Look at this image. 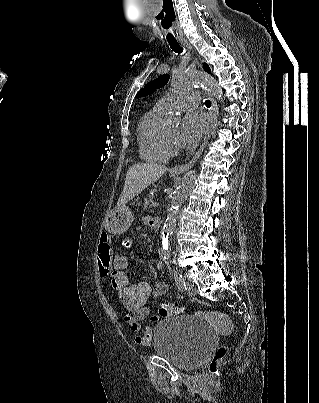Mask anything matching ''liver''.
I'll list each match as a JSON object with an SVG mask.
<instances>
[{
  "mask_svg": "<svg viewBox=\"0 0 319 403\" xmlns=\"http://www.w3.org/2000/svg\"><path fill=\"white\" fill-rule=\"evenodd\" d=\"M167 168L155 163H137L132 165L126 174L123 191L118 199L117 207L124 206L146 187L156 182Z\"/></svg>",
  "mask_w": 319,
  "mask_h": 403,
  "instance_id": "liver-1",
  "label": "liver"
}]
</instances>
